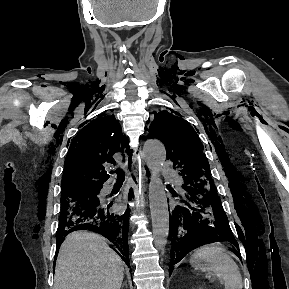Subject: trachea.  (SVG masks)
<instances>
[{"mask_svg": "<svg viewBox=\"0 0 289 289\" xmlns=\"http://www.w3.org/2000/svg\"><path fill=\"white\" fill-rule=\"evenodd\" d=\"M115 173L117 174V181H124L125 172L121 168L117 169Z\"/></svg>", "mask_w": 289, "mask_h": 289, "instance_id": "obj_1", "label": "trachea"}]
</instances>
